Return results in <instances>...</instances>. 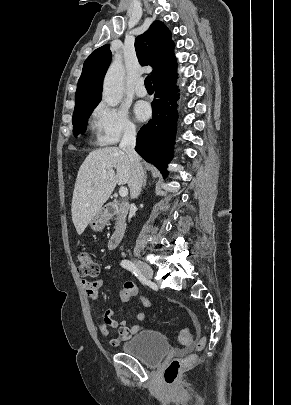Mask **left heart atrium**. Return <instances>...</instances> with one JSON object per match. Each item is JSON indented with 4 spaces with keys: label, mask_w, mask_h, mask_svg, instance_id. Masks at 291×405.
Segmentation results:
<instances>
[{
    "label": "left heart atrium",
    "mask_w": 291,
    "mask_h": 405,
    "mask_svg": "<svg viewBox=\"0 0 291 405\" xmlns=\"http://www.w3.org/2000/svg\"><path fill=\"white\" fill-rule=\"evenodd\" d=\"M135 115L140 120H145L150 115V107L145 102H140L135 106Z\"/></svg>",
    "instance_id": "obj_1"
}]
</instances>
